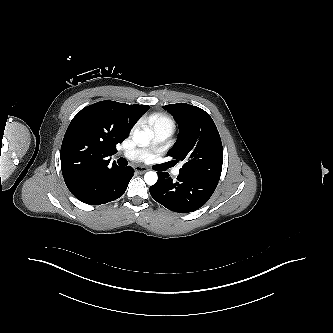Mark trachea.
<instances>
[{"instance_id": "trachea-1", "label": "trachea", "mask_w": 333, "mask_h": 333, "mask_svg": "<svg viewBox=\"0 0 333 333\" xmlns=\"http://www.w3.org/2000/svg\"><path fill=\"white\" fill-rule=\"evenodd\" d=\"M118 164L121 165V166H126L127 165V160L124 159V158H120L118 160Z\"/></svg>"}]
</instances>
